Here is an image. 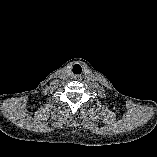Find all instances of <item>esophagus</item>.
Listing matches in <instances>:
<instances>
[{"mask_svg": "<svg viewBox=\"0 0 157 157\" xmlns=\"http://www.w3.org/2000/svg\"><path fill=\"white\" fill-rule=\"evenodd\" d=\"M74 78H75V79H79V78H80V75H75Z\"/></svg>", "mask_w": 157, "mask_h": 157, "instance_id": "obj_1", "label": "esophagus"}]
</instances>
